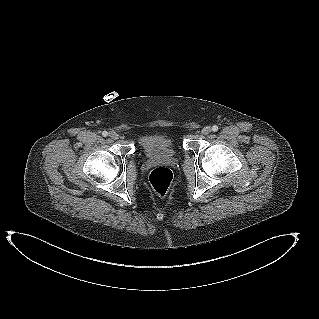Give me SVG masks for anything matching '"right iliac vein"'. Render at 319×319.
I'll return each instance as SVG.
<instances>
[{
    "mask_svg": "<svg viewBox=\"0 0 319 319\" xmlns=\"http://www.w3.org/2000/svg\"><path fill=\"white\" fill-rule=\"evenodd\" d=\"M118 134L115 132V131H111L110 133H109V137L111 138V139H114V140H116V139H118Z\"/></svg>",
    "mask_w": 319,
    "mask_h": 319,
    "instance_id": "obj_1",
    "label": "right iliac vein"
}]
</instances>
